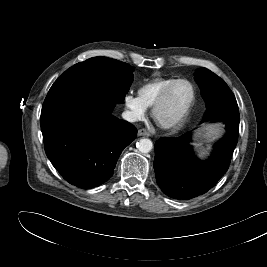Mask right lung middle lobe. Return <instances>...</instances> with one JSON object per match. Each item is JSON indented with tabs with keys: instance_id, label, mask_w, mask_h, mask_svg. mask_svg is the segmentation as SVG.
Listing matches in <instances>:
<instances>
[{
	"instance_id": "dd1d6c3e",
	"label": "right lung middle lobe",
	"mask_w": 267,
	"mask_h": 267,
	"mask_svg": "<svg viewBox=\"0 0 267 267\" xmlns=\"http://www.w3.org/2000/svg\"><path fill=\"white\" fill-rule=\"evenodd\" d=\"M134 69L107 57H93L66 70L50 88L43 105L75 93H87L123 103Z\"/></svg>"
}]
</instances>
